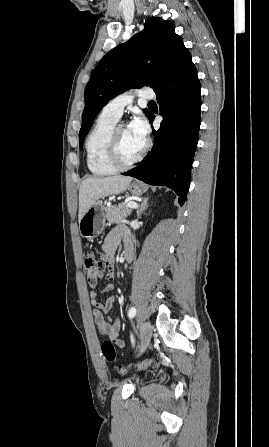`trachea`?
Returning a JSON list of instances; mask_svg holds the SVG:
<instances>
[{"mask_svg":"<svg viewBox=\"0 0 269 447\" xmlns=\"http://www.w3.org/2000/svg\"><path fill=\"white\" fill-rule=\"evenodd\" d=\"M148 105H156V103L152 100Z\"/></svg>","mask_w":269,"mask_h":447,"instance_id":"3493384b","label":"trachea"}]
</instances>
